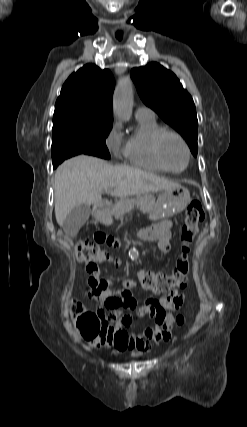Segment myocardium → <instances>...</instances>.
I'll list each match as a JSON object with an SVG mask.
<instances>
[{
  "label": "myocardium",
  "mask_w": 247,
  "mask_h": 427,
  "mask_svg": "<svg viewBox=\"0 0 247 427\" xmlns=\"http://www.w3.org/2000/svg\"><path fill=\"white\" fill-rule=\"evenodd\" d=\"M168 136H172L175 137L176 139H178L180 141V143L183 145L185 151H186V155H187V159H186V163L184 165L183 168L179 169V170H175L173 168H171L165 161L164 157H163V153H162V144L163 141L166 137ZM153 151H154V155L157 159V161L159 162V164L168 172L171 173H180L183 172L189 165L190 163V159H191V151L189 148L188 143L186 142V140L184 139V137L174 131V130H169V129H163L161 132H159L153 142Z\"/></svg>",
  "instance_id": "myocardium-1"
}]
</instances>
